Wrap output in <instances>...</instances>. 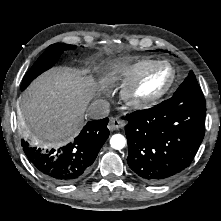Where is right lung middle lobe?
<instances>
[{"label": "right lung middle lobe", "instance_id": "right-lung-middle-lobe-1", "mask_svg": "<svg viewBox=\"0 0 221 221\" xmlns=\"http://www.w3.org/2000/svg\"><path fill=\"white\" fill-rule=\"evenodd\" d=\"M75 48V45L61 43H55L47 47L45 52L37 59L34 65L26 73L22 81L21 90H24L30 84V82L42 72L51 68L64 50H71Z\"/></svg>", "mask_w": 221, "mask_h": 221}]
</instances>
